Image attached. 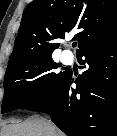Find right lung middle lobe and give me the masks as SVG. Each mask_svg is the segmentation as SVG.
<instances>
[{"label": "right lung middle lobe", "instance_id": "obj_1", "mask_svg": "<svg viewBox=\"0 0 117 136\" xmlns=\"http://www.w3.org/2000/svg\"><path fill=\"white\" fill-rule=\"evenodd\" d=\"M58 67L52 56L29 57L9 64L1 112L23 108L50 93L67 74L56 72Z\"/></svg>", "mask_w": 117, "mask_h": 136}]
</instances>
